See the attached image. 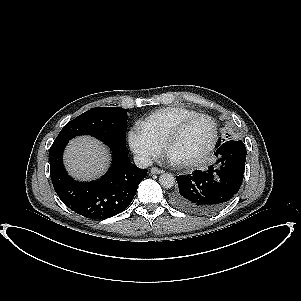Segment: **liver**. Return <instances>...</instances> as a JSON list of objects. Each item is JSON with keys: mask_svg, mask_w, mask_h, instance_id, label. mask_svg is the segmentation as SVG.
<instances>
[{"mask_svg": "<svg viewBox=\"0 0 301 301\" xmlns=\"http://www.w3.org/2000/svg\"><path fill=\"white\" fill-rule=\"evenodd\" d=\"M109 161L110 154L106 146L90 136L72 139L64 153L67 171L79 180L99 177L107 170Z\"/></svg>", "mask_w": 301, "mask_h": 301, "instance_id": "6515ba94", "label": "liver"}]
</instances>
